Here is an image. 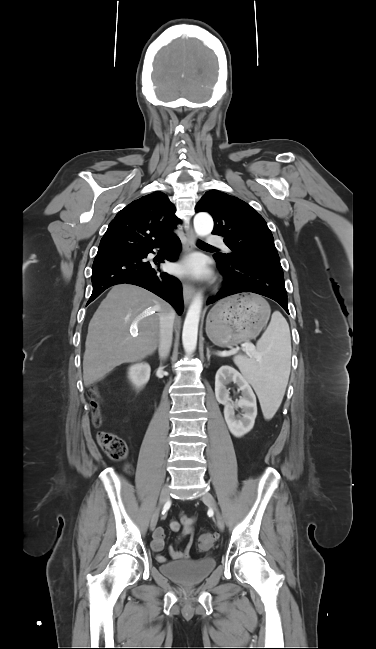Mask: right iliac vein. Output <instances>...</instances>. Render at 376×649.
Returning <instances> with one entry per match:
<instances>
[{"instance_id":"right-iliac-vein-1","label":"right iliac vein","mask_w":376,"mask_h":649,"mask_svg":"<svg viewBox=\"0 0 376 649\" xmlns=\"http://www.w3.org/2000/svg\"><path fill=\"white\" fill-rule=\"evenodd\" d=\"M169 494H170L169 486L165 485L162 488V491L160 493L159 504H158L157 508L155 509V511L153 512V515L151 517V521H150V529L151 530H154V528L156 527L161 507L169 500Z\"/></svg>"}]
</instances>
